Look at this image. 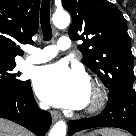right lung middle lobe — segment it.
I'll return each mask as SVG.
<instances>
[{"instance_id": "1", "label": "right lung middle lobe", "mask_w": 136, "mask_h": 136, "mask_svg": "<svg viewBox=\"0 0 136 136\" xmlns=\"http://www.w3.org/2000/svg\"><path fill=\"white\" fill-rule=\"evenodd\" d=\"M15 66V62L0 64V93L17 91L27 82L18 79L20 74L15 73Z\"/></svg>"}]
</instances>
